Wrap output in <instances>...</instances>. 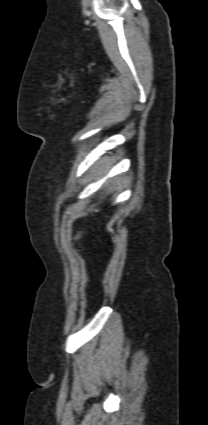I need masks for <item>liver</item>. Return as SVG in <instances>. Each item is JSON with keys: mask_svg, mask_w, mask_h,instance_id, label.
Returning <instances> with one entry per match:
<instances>
[{"mask_svg": "<svg viewBox=\"0 0 208 425\" xmlns=\"http://www.w3.org/2000/svg\"><path fill=\"white\" fill-rule=\"evenodd\" d=\"M79 236H80V235L78 234V235L76 236V238H79Z\"/></svg>", "mask_w": 208, "mask_h": 425, "instance_id": "liver-1", "label": "liver"}]
</instances>
